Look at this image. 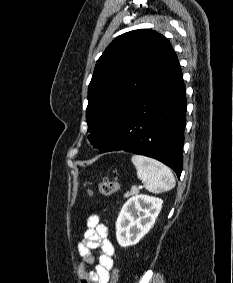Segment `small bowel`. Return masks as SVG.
<instances>
[{"mask_svg": "<svg viewBox=\"0 0 233 283\" xmlns=\"http://www.w3.org/2000/svg\"><path fill=\"white\" fill-rule=\"evenodd\" d=\"M99 249L98 264L93 270H88V265L95 263L93 251ZM81 257L77 265V272L81 283H109L114 267L115 249L108 239L107 227L100 222L97 214H92L87 219V230L83 240L77 245Z\"/></svg>", "mask_w": 233, "mask_h": 283, "instance_id": "c3829d8e", "label": "small bowel"}]
</instances>
